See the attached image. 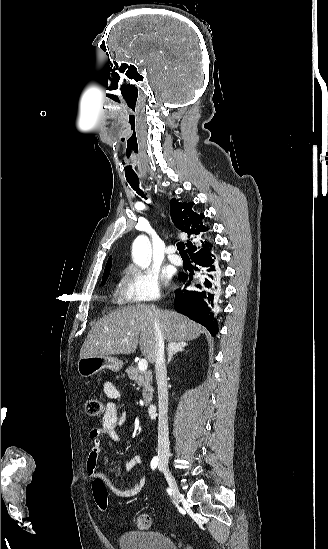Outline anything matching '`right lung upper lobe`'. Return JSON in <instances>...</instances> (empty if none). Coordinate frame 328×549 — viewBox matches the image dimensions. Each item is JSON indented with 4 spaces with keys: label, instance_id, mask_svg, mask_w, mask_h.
<instances>
[{
    "label": "right lung upper lobe",
    "instance_id": "obj_1",
    "mask_svg": "<svg viewBox=\"0 0 328 549\" xmlns=\"http://www.w3.org/2000/svg\"><path fill=\"white\" fill-rule=\"evenodd\" d=\"M194 202L191 203H181L177 199L172 198L170 201V214L173 223L181 231L187 233L188 238L190 235H202L205 232L209 231V228L203 225V214H197L192 210ZM203 248L195 253L196 246L191 242L187 243V251L191 257L195 256L198 253H203L209 251L207 248L212 246L208 241H201ZM112 265V257L110 256L106 264L104 273L110 271ZM104 275V274H103Z\"/></svg>",
    "mask_w": 328,
    "mask_h": 549
}]
</instances>
